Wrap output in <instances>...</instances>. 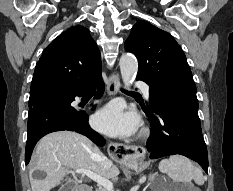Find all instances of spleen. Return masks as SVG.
Masks as SVG:
<instances>
[{
	"label": "spleen",
	"instance_id": "obj_1",
	"mask_svg": "<svg viewBox=\"0 0 233 191\" xmlns=\"http://www.w3.org/2000/svg\"><path fill=\"white\" fill-rule=\"evenodd\" d=\"M159 169L174 182L190 183L191 180H194L198 185L204 184L201 170L184 156L173 155L168 159L161 160Z\"/></svg>",
	"mask_w": 233,
	"mask_h": 191
}]
</instances>
